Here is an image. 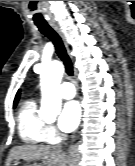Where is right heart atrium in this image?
Returning <instances> with one entry per match:
<instances>
[{
	"label": "right heart atrium",
	"instance_id": "d8ad5b80",
	"mask_svg": "<svg viewBox=\"0 0 135 166\" xmlns=\"http://www.w3.org/2000/svg\"><path fill=\"white\" fill-rule=\"evenodd\" d=\"M46 139L49 142H56L60 139L57 129L52 124H46Z\"/></svg>",
	"mask_w": 135,
	"mask_h": 166
}]
</instances>
